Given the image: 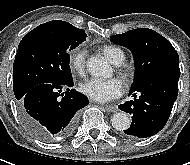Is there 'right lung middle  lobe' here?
<instances>
[{"mask_svg":"<svg viewBox=\"0 0 190 165\" xmlns=\"http://www.w3.org/2000/svg\"><path fill=\"white\" fill-rule=\"evenodd\" d=\"M82 29L54 20L39 25L21 40L13 65V90L17 100L42 83L73 81L69 52L86 40Z\"/></svg>","mask_w":190,"mask_h":165,"instance_id":"right-lung-middle-lobe-1","label":"right lung middle lobe"}]
</instances>
